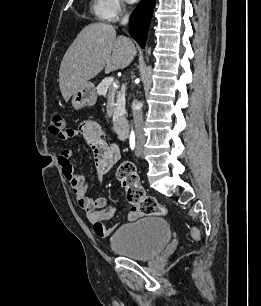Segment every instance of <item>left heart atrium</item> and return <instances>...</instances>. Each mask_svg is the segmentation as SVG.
I'll use <instances>...</instances> for the list:
<instances>
[{
  "mask_svg": "<svg viewBox=\"0 0 261 306\" xmlns=\"http://www.w3.org/2000/svg\"><path fill=\"white\" fill-rule=\"evenodd\" d=\"M127 1H129V2H134V1H136V0H127Z\"/></svg>",
  "mask_w": 261,
  "mask_h": 306,
  "instance_id": "1",
  "label": "left heart atrium"
}]
</instances>
